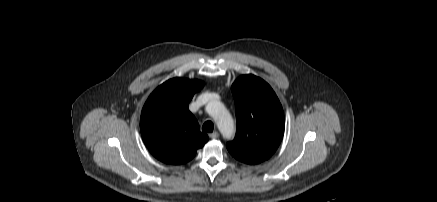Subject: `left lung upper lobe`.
<instances>
[{
  "mask_svg": "<svg viewBox=\"0 0 437 202\" xmlns=\"http://www.w3.org/2000/svg\"><path fill=\"white\" fill-rule=\"evenodd\" d=\"M237 132L226 144L230 154L246 164H259L277 150L284 134V113L273 89L255 75L233 83Z\"/></svg>",
  "mask_w": 437,
  "mask_h": 202,
  "instance_id": "obj_1",
  "label": "left lung upper lobe"
}]
</instances>
